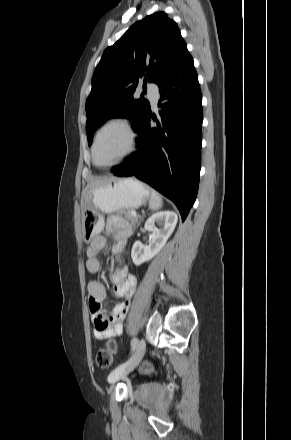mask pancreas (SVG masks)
Returning a JSON list of instances; mask_svg holds the SVG:
<instances>
[{
  "label": "pancreas",
  "instance_id": "1",
  "mask_svg": "<svg viewBox=\"0 0 291 440\" xmlns=\"http://www.w3.org/2000/svg\"><path fill=\"white\" fill-rule=\"evenodd\" d=\"M119 215H124V217L131 222L132 225L138 224L139 217H134L131 215V210L121 209L118 210Z\"/></svg>",
  "mask_w": 291,
  "mask_h": 440
}]
</instances>
